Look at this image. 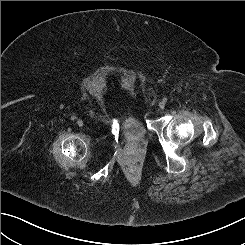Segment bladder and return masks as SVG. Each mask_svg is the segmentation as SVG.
I'll return each instance as SVG.
<instances>
[{"instance_id":"bladder-1","label":"bladder","mask_w":245,"mask_h":245,"mask_svg":"<svg viewBox=\"0 0 245 245\" xmlns=\"http://www.w3.org/2000/svg\"><path fill=\"white\" fill-rule=\"evenodd\" d=\"M124 134L132 141L142 142L148 137V130L137 117H129L123 124Z\"/></svg>"}]
</instances>
